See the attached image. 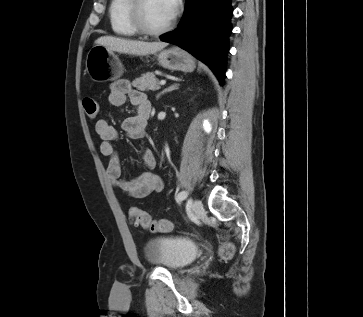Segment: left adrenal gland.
I'll return each instance as SVG.
<instances>
[{
	"label": "left adrenal gland",
	"mask_w": 363,
	"mask_h": 317,
	"mask_svg": "<svg viewBox=\"0 0 363 317\" xmlns=\"http://www.w3.org/2000/svg\"><path fill=\"white\" fill-rule=\"evenodd\" d=\"M179 87V83H174L173 85H171L170 87L164 89L163 91H161L160 93L157 94L156 99H159L161 95H163L164 93L173 91L175 89H178Z\"/></svg>",
	"instance_id": "1"
}]
</instances>
